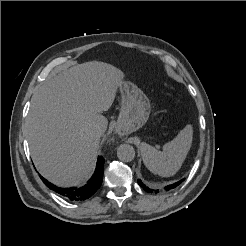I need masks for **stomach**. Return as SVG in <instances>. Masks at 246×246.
I'll list each match as a JSON object with an SVG mask.
<instances>
[{
	"mask_svg": "<svg viewBox=\"0 0 246 246\" xmlns=\"http://www.w3.org/2000/svg\"><path fill=\"white\" fill-rule=\"evenodd\" d=\"M120 92L118 128L124 133H132L147 122L151 111L150 102L143 91L133 83L124 82L120 86Z\"/></svg>",
	"mask_w": 246,
	"mask_h": 246,
	"instance_id": "obj_1",
	"label": "stomach"
}]
</instances>
